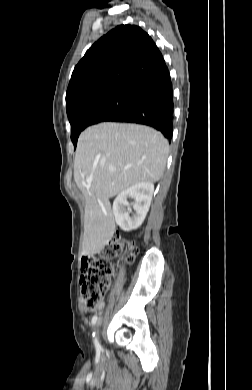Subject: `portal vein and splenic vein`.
Segmentation results:
<instances>
[{
    "label": "portal vein and splenic vein",
    "instance_id": "18ae733b",
    "mask_svg": "<svg viewBox=\"0 0 252 390\" xmlns=\"http://www.w3.org/2000/svg\"><path fill=\"white\" fill-rule=\"evenodd\" d=\"M91 180H92L91 178H87V179H86V181H87L88 183H90Z\"/></svg>",
    "mask_w": 252,
    "mask_h": 390
}]
</instances>
